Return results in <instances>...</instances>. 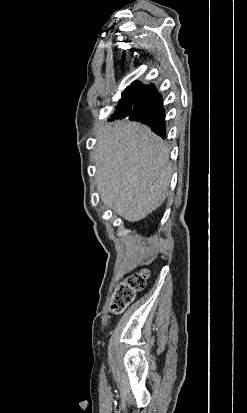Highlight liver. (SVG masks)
Instances as JSON below:
<instances>
[{"label":"liver","mask_w":247,"mask_h":413,"mask_svg":"<svg viewBox=\"0 0 247 413\" xmlns=\"http://www.w3.org/2000/svg\"><path fill=\"white\" fill-rule=\"evenodd\" d=\"M97 136L96 186L103 204L126 221L145 219L168 196V146L146 124L130 120H116Z\"/></svg>","instance_id":"liver-1"}]
</instances>
